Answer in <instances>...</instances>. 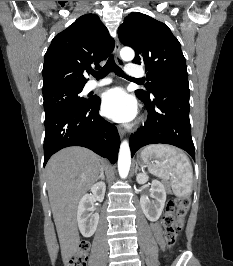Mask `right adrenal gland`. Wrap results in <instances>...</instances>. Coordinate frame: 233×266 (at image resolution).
<instances>
[{"mask_svg": "<svg viewBox=\"0 0 233 266\" xmlns=\"http://www.w3.org/2000/svg\"><path fill=\"white\" fill-rule=\"evenodd\" d=\"M98 179H101V180H104V179H105V176H104V172H103V170L101 171V174H100V176L98 177Z\"/></svg>", "mask_w": 233, "mask_h": 266, "instance_id": "1", "label": "right adrenal gland"}]
</instances>
